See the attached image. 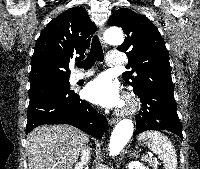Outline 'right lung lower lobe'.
<instances>
[{
	"label": "right lung lower lobe",
	"mask_w": 200,
	"mask_h": 169,
	"mask_svg": "<svg viewBox=\"0 0 200 169\" xmlns=\"http://www.w3.org/2000/svg\"><path fill=\"white\" fill-rule=\"evenodd\" d=\"M26 133L43 124H70L101 139L106 118L82 101L69 87H54L29 94Z\"/></svg>",
	"instance_id": "98d812e1"
}]
</instances>
